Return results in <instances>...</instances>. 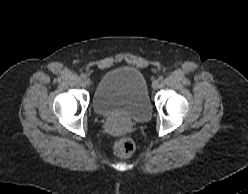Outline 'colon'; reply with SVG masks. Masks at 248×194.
Returning <instances> with one entry per match:
<instances>
[{
  "label": "colon",
  "instance_id": "1",
  "mask_svg": "<svg viewBox=\"0 0 248 194\" xmlns=\"http://www.w3.org/2000/svg\"><path fill=\"white\" fill-rule=\"evenodd\" d=\"M134 143L129 138H120L114 144V152L120 157H127L134 151Z\"/></svg>",
  "mask_w": 248,
  "mask_h": 194
}]
</instances>
